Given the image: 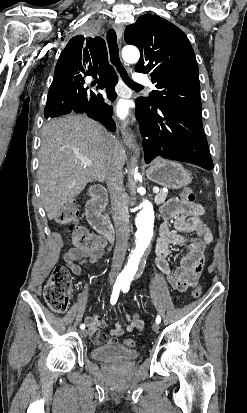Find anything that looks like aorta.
Returning a JSON list of instances; mask_svg holds the SVG:
<instances>
[{
  "mask_svg": "<svg viewBox=\"0 0 247 413\" xmlns=\"http://www.w3.org/2000/svg\"><path fill=\"white\" fill-rule=\"evenodd\" d=\"M122 57L127 63H136L140 58L139 50L134 47L127 45L122 50ZM141 175L138 173L137 169L134 173V179H139ZM138 192L143 193L145 189L143 187L138 188ZM142 210L136 217V226L138 228L137 232V245L133 251L128 265L125 269L124 275L130 276L134 274L140 262V259L149 245L152 235H153V226H154V210L153 205L148 200H143L141 203Z\"/></svg>",
  "mask_w": 247,
  "mask_h": 413,
  "instance_id": "762f6f07",
  "label": "aorta"
}]
</instances>
